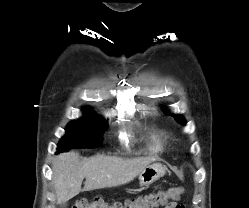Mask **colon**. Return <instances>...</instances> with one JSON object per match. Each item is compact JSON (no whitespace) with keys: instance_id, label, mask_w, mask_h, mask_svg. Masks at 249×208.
I'll return each mask as SVG.
<instances>
[{"instance_id":"colon-1","label":"colon","mask_w":249,"mask_h":208,"mask_svg":"<svg viewBox=\"0 0 249 208\" xmlns=\"http://www.w3.org/2000/svg\"><path fill=\"white\" fill-rule=\"evenodd\" d=\"M183 193L184 188L179 186L139 196L134 199L111 203L103 199H81L72 208H157L179 200ZM179 208L184 207L180 205Z\"/></svg>"}]
</instances>
